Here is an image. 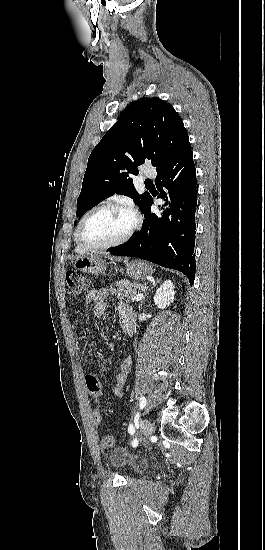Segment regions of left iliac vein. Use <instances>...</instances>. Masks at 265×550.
Returning a JSON list of instances; mask_svg holds the SVG:
<instances>
[{
	"instance_id": "obj_1",
	"label": "left iliac vein",
	"mask_w": 265,
	"mask_h": 550,
	"mask_svg": "<svg viewBox=\"0 0 265 550\" xmlns=\"http://www.w3.org/2000/svg\"><path fill=\"white\" fill-rule=\"evenodd\" d=\"M153 425L148 419H144L141 423V432L145 437L152 434Z\"/></svg>"
}]
</instances>
